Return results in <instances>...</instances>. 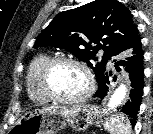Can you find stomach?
<instances>
[{"mask_svg": "<svg viewBox=\"0 0 153 134\" xmlns=\"http://www.w3.org/2000/svg\"><path fill=\"white\" fill-rule=\"evenodd\" d=\"M98 107L83 104L71 108L45 107L23 114L12 127L13 134H57L67 125L83 131L95 123ZM97 123V122H96Z\"/></svg>", "mask_w": 153, "mask_h": 134, "instance_id": "stomach-1", "label": "stomach"}]
</instances>
